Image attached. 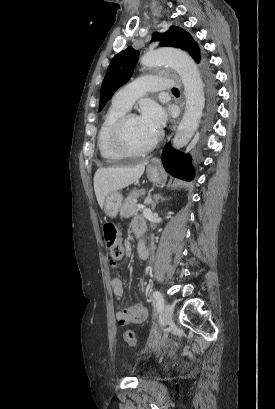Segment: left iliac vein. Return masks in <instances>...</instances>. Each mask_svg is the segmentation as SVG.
<instances>
[{
	"label": "left iliac vein",
	"mask_w": 275,
	"mask_h": 409,
	"mask_svg": "<svg viewBox=\"0 0 275 409\" xmlns=\"http://www.w3.org/2000/svg\"><path fill=\"white\" fill-rule=\"evenodd\" d=\"M173 311H174V306L168 303L165 304L164 313H163V321H162L163 326H167L170 324V322L172 321Z\"/></svg>",
	"instance_id": "1"
}]
</instances>
